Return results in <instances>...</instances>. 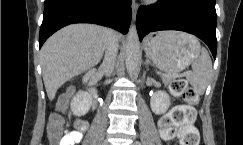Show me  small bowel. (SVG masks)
I'll use <instances>...</instances> for the list:
<instances>
[{"instance_id": "c3829d8e", "label": "small bowel", "mask_w": 243, "mask_h": 145, "mask_svg": "<svg viewBox=\"0 0 243 145\" xmlns=\"http://www.w3.org/2000/svg\"><path fill=\"white\" fill-rule=\"evenodd\" d=\"M82 124L80 130L67 131L61 139L60 145H75L79 143L83 138V131L86 129V123L78 121Z\"/></svg>"}]
</instances>
